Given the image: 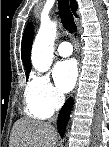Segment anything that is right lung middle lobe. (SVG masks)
Returning a JSON list of instances; mask_svg holds the SVG:
<instances>
[{"label": "right lung middle lobe", "mask_w": 109, "mask_h": 147, "mask_svg": "<svg viewBox=\"0 0 109 147\" xmlns=\"http://www.w3.org/2000/svg\"><path fill=\"white\" fill-rule=\"evenodd\" d=\"M29 74H26V78L28 79Z\"/></svg>", "instance_id": "obj_1"}]
</instances>
